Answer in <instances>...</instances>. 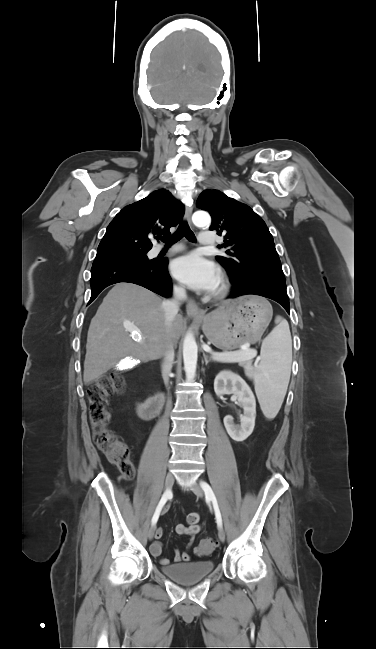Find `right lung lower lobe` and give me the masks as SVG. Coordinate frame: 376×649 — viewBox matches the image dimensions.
<instances>
[{"instance_id": "obj_1", "label": "right lung lower lobe", "mask_w": 376, "mask_h": 649, "mask_svg": "<svg viewBox=\"0 0 376 649\" xmlns=\"http://www.w3.org/2000/svg\"><path fill=\"white\" fill-rule=\"evenodd\" d=\"M166 258L140 261H108L92 266L91 269V303L99 293L109 285L129 282L143 286L159 295L170 297L172 294L171 277L167 271Z\"/></svg>"}]
</instances>
